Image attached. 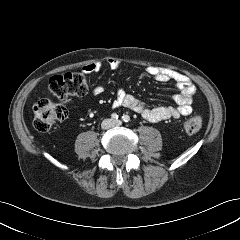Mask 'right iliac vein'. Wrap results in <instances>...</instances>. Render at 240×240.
<instances>
[{
    "mask_svg": "<svg viewBox=\"0 0 240 240\" xmlns=\"http://www.w3.org/2000/svg\"><path fill=\"white\" fill-rule=\"evenodd\" d=\"M111 125V121L107 120L104 122V126L109 127Z\"/></svg>",
    "mask_w": 240,
    "mask_h": 240,
    "instance_id": "right-iliac-vein-1",
    "label": "right iliac vein"
}]
</instances>
